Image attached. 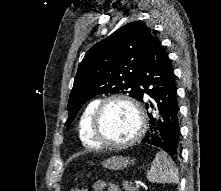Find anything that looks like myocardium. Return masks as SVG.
<instances>
[{
  "instance_id": "f54148a6",
  "label": "myocardium",
  "mask_w": 221,
  "mask_h": 191,
  "mask_svg": "<svg viewBox=\"0 0 221 191\" xmlns=\"http://www.w3.org/2000/svg\"><path fill=\"white\" fill-rule=\"evenodd\" d=\"M114 101H123L129 104L135 110L138 117L139 124L137 131L129 140L125 142L114 143L106 140L104 137L103 128H102L103 115L107 105ZM145 128H146V116L140 103L128 95L113 94L100 101L97 108L95 109L91 125V133L92 137L100 147L123 149L137 143L143 136Z\"/></svg>"
}]
</instances>
